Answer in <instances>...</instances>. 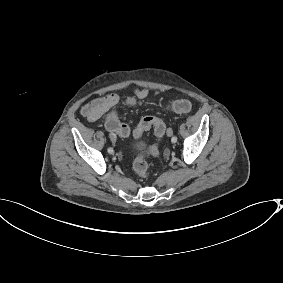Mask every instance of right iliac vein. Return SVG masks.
Returning a JSON list of instances; mask_svg holds the SVG:
<instances>
[{"instance_id":"right-iliac-vein-1","label":"right iliac vein","mask_w":283,"mask_h":283,"mask_svg":"<svg viewBox=\"0 0 283 283\" xmlns=\"http://www.w3.org/2000/svg\"><path fill=\"white\" fill-rule=\"evenodd\" d=\"M111 140H112L113 143L116 142V138L115 137H112Z\"/></svg>"}]
</instances>
